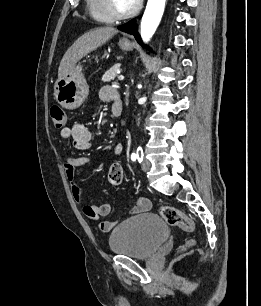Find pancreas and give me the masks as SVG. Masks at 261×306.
Returning <instances> with one entry per match:
<instances>
[{"label":"pancreas","mask_w":261,"mask_h":306,"mask_svg":"<svg viewBox=\"0 0 261 306\" xmlns=\"http://www.w3.org/2000/svg\"><path fill=\"white\" fill-rule=\"evenodd\" d=\"M120 69V65H114L112 68H110L108 71L105 72V74L102 77L103 82H110L115 79L117 76V71Z\"/></svg>","instance_id":"cf45deb5"}]
</instances>
